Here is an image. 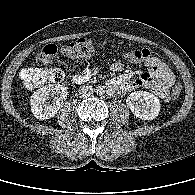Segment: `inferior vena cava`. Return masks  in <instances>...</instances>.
I'll return each instance as SVG.
<instances>
[{
  "label": "inferior vena cava",
  "mask_w": 195,
  "mask_h": 195,
  "mask_svg": "<svg viewBox=\"0 0 195 195\" xmlns=\"http://www.w3.org/2000/svg\"><path fill=\"white\" fill-rule=\"evenodd\" d=\"M93 94L92 86H83L79 89V95L82 98H88Z\"/></svg>",
  "instance_id": "602c4592"
}]
</instances>
